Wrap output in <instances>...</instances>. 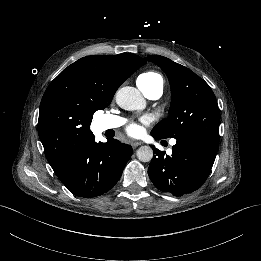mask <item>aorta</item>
Returning a JSON list of instances; mask_svg holds the SVG:
<instances>
[{"instance_id":"1","label":"aorta","mask_w":261,"mask_h":261,"mask_svg":"<svg viewBox=\"0 0 261 261\" xmlns=\"http://www.w3.org/2000/svg\"><path fill=\"white\" fill-rule=\"evenodd\" d=\"M116 104L124 110L145 109L146 104L138 90L131 86L120 88L115 95ZM138 160L150 162L153 158V150L150 146H141L136 152Z\"/></svg>"}]
</instances>
